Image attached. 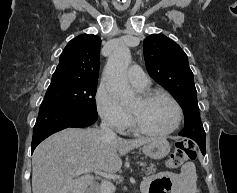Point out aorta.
Masks as SVG:
<instances>
[{
  "label": "aorta",
  "mask_w": 237,
  "mask_h": 193,
  "mask_svg": "<svg viewBox=\"0 0 237 193\" xmlns=\"http://www.w3.org/2000/svg\"><path fill=\"white\" fill-rule=\"evenodd\" d=\"M131 61L130 50L126 46H119L109 57L104 73L108 79L113 94L120 99L123 104H128L134 99L126 71Z\"/></svg>",
  "instance_id": "obj_1"
}]
</instances>
